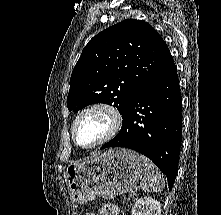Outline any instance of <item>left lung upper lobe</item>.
<instances>
[{
    "label": "left lung upper lobe",
    "mask_w": 221,
    "mask_h": 215,
    "mask_svg": "<svg viewBox=\"0 0 221 215\" xmlns=\"http://www.w3.org/2000/svg\"><path fill=\"white\" fill-rule=\"evenodd\" d=\"M169 57L166 43L145 21L126 19L101 31L85 46L73 69L67 97L69 111L106 103L123 116Z\"/></svg>",
    "instance_id": "1"
}]
</instances>
